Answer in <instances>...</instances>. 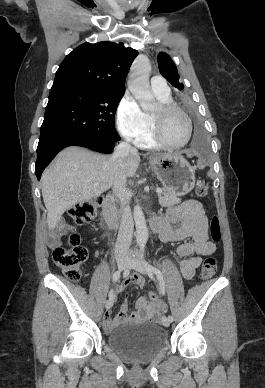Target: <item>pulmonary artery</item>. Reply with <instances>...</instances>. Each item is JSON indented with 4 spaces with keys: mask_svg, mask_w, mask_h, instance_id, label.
<instances>
[{
    "mask_svg": "<svg viewBox=\"0 0 265 388\" xmlns=\"http://www.w3.org/2000/svg\"><path fill=\"white\" fill-rule=\"evenodd\" d=\"M151 79L152 90H168L170 88V85L165 83L161 75H152Z\"/></svg>",
    "mask_w": 265,
    "mask_h": 388,
    "instance_id": "pulmonary-artery-1",
    "label": "pulmonary artery"
}]
</instances>
